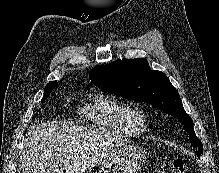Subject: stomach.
I'll return each instance as SVG.
<instances>
[{
	"label": "stomach",
	"instance_id": "0dacf381",
	"mask_svg": "<svg viewBox=\"0 0 219 173\" xmlns=\"http://www.w3.org/2000/svg\"><path fill=\"white\" fill-rule=\"evenodd\" d=\"M145 161L141 146L122 144L100 163L99 173H137Z\"/></svg>",
	"mask_w": 219,
	"mask_h": 173
}]
</instances>
